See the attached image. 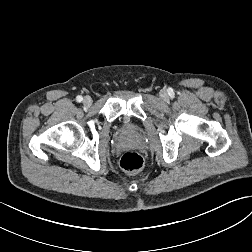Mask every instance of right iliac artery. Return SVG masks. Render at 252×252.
Instances as JSON below:
<instances>
[{"mask_svg": "<svg viewBox=\"0 0 252 252\" xmlns=\"http://www.w3.org/2000/svg\"><path fill=\"white\" fill-rule=\"evenodd\" d=\"M76 100H77L78 102H81V101L83 100V97H82L81 95H79V96L76 97Z\"/></svg>", "mask_w": 252, "mask_h": 252, "instance_id": "obj_1", "label": "right iliac artery"}]
</instances>
